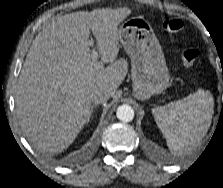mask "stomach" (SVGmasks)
Here are the masks:
<instances>
[{"label":"stomach","mask_w":223,"mask_h":188,"mask_svg":"<svg viewBox=\"0 0 223 188\" xmlns=\"http://www.w3.org/2000/svg\"><path fill=\"white\" fill-rule=\"evenodd\" d=\"M119 40L131 58L134 96L140 100L162 93L169 86V72L161 46L143 17H132L118 28Z\"/></svg>","instance_id":"0dacf381"}]
</instances>
